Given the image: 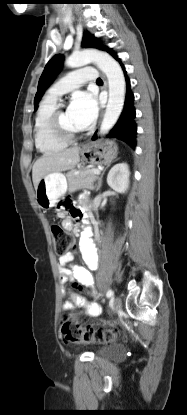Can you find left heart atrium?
I'll return each instance as SVG.
<instances>
[{
	"instance_id": "obj_1",
	"label": "left heart atrium",
	"mask_w": 187,
	"mask_h": 415,
	"mask_svg": "<svg viewBox=\"0 0 187 415\" xmlns=\"http://www.w3.org/2000/svg\"><path fill=\"white\" fill-rule=\"evenodd\" d=\"M67 111L77 126L85 129L96 119L97 101L89 92H77L73 95Z\"/></svg>"
}]
</instances>
